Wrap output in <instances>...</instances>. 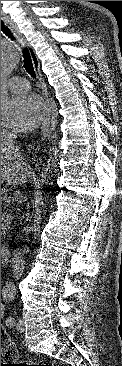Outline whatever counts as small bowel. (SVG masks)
<instances>
[{
    "mask_svg": "<svg viewBox=\"0 0 122 366\" xmlns=\"http://www.w3.org/2000/svg\"><path fill=\"white\" fill-rule=\"evenodd\" d=\"M3 312H4V307H3V305L1 304V317L3 316Z\"/></svg>",
    "mask_w": 122,
    "mask_h": 366,
    "instance_id": "small-bowel-1",
    "label": "small bowel"
}]
</instances>
